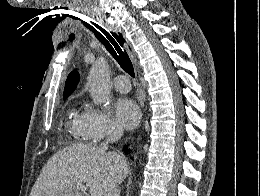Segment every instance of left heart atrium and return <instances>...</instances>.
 <instances>
[{
  "label": "left heart atrium",
  "mask_w": 260,
  "mask_h": 196,
  "mask_svg": "<svg viewBox=\"0 0 260 196\" xmlns=\"http://www.w3.org/2000/svg\"><path fill=\"white\" fill-rule=\"evenodd\" d=\"M117 121L124 128L134 127L140 119V110L136 103L127 97L117 100L114 106Z\"/></svg>",
  "instance_id": "1"
}]
</instances>
